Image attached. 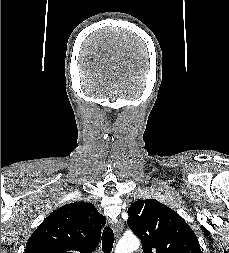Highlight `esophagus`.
I'll return each instance as SVG.
<instances>
[{
  "label": "esophagus",
  "mask_w": 229,
  "mask_h": 253,
  "mask_svg": "<svg viewBox=\"0 0 229 253\" xmlns=\"http://www.w3.org/2000/svg\"><path fill=\"white\" fill-rule=\"evenodd\" d=\"M113 228H114V232L117 236V238L121 235L122 231H123V223L121 221H116L113 224Z\"/></svg>",
  "instance_id": "1"
}]
</instances>
